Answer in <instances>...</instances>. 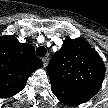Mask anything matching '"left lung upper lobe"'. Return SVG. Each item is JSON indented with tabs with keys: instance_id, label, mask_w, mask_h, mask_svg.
<instances>
[{
	"instance_id": "5c2ea615",
	"label": "left lung upper lobe",
	"mask_w": 108,
	"mask_h": 108,
	"mask_svg": "<svg viewBox=\"0 0 108 108\" xmlns=\"http://www.w3.org/2000/svg\"><path fill=\"white\" fill-rule=\"evenodd\" d=\"M83 38L67 37L48 67L51 83L99 90L105 66Z\"/></svg>"
}]
</instances>
